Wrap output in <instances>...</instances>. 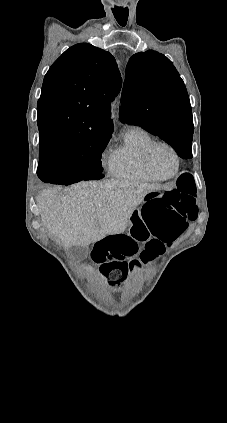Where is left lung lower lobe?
<instances>
[{"mask_svg":"<svg viewBox=\"0 0 227 423\" xmlns=\"http://www.w3.org/2000/svg\"><path fill=\"white\" fill-rule=\"evenodd\" d=\"M191 145H192V142L180 140L171 146L178 153L180 157H182L183 159H190L192 158Z\"/></svg>","mask_w":227,"mask_h":423,"instance_id":"left-lung-lower-lobe-1","label":"left lung lower lobe"}]
</instances>
